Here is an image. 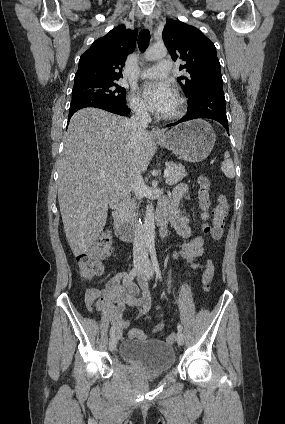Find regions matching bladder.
Listing matches in <instances>:
<instances>
[{
  "label": "bladder",
  "mask_w": 285,
  "mask_h": 424,
  "mask_svg": "<svg viewBox=\"0 0 285 424\" xmlns=\"http://www.w3.org/2000/svg\"><path fill=\"white\" fill-rule=\"evenodd\" d=\"M123 362L132 364L148 374L168 372L175 363L176 352L162 340H125L119 348Z\"/></svg>",
  "instance_id": "31cf9c89"
}]
</instances>
